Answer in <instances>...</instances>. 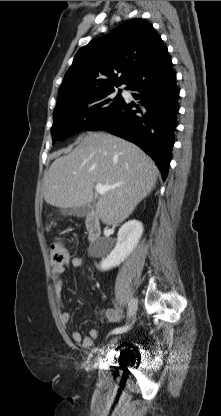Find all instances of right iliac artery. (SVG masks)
Instances as JSON below:
<instances>
[{
    "instance_id": "82829eb1",
    "label": "right iliac artery",
    "mask_w": 221,
    "mask_h": 416,
    "mask_svg": "<svg viewBox=\"0 0 221 416\" xmlns=\"http://www.w3.org/2000/svg\"><path fill=\"white\" fill-rule=\"evenodd\" d=\"M129 328H130V326L118 327V328L114 329V330L112 331V333H113V334H114V333H115V334H118V333H123V332L127 331Z\"/></svg>"
}]
</instances>
